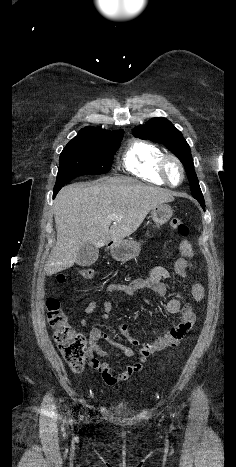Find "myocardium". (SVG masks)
<instances>
[{"label":"myocardium","mask_w":236,"mask_h":467,"mask_svg":"<svg viewBox=\"0 0 236 467\" xmlns=\"http://www.w3.org/2000/svg\"><path fill=\"white\" fill-rule=\"evenodd\" d=\"M169 162H174L179 167V170H180V173H181V179L177 184H173L169 180L168 171H167V166H168ZM158 171H159V174L162 177V179L166 182V184L171 186V187H177V186L181 185L183 183L184 179H185V168L183 166V163L180 161V159L178 157H176L173 154L163 155V157L161 158V160L159 162Z\"/></svg>","instance_id":"1"}]
</instances>
